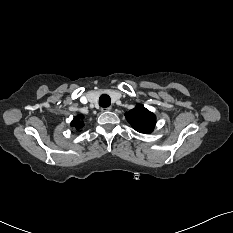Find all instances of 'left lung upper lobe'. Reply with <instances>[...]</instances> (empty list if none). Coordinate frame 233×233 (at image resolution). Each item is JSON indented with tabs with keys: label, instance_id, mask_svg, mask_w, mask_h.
<instances>
[{
	"label": "left lung upper lobe",
	"instance_id": "obj_1",
	"mask_svg": "<svg viewBox=\"0 0 233 233\" xmlns=\"http://www.w3.org/2000/svg\"><path fill=\"white\" fill-rule=\"evenodd\" d=\"M125 116L130 125L140 133H151L155 127V115L140 104L128 111Z\"/></svg>",
	"mask_w": 233,
	"mask_h": 233
}]
</instances>
